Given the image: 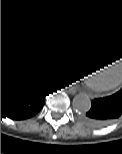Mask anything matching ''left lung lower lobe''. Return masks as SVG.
<instances>
[{
  "instance_id": "0a47b994",
  "label": "left lung lower lobe",
  "mask_w": 122,
  "mask_h": 154,
  "mask_svg": "<svg viewBox=\"0 0 122 154\" xmlns=\"http://www.w3.org/2000/svg\"><path fill=\"white\" fill-rule=\"evenodd\" d=\"M122 116V88L115 94L92 100L91 109L82 117L84 125L100 128Z\"/></svg>"
}]
</instances>
